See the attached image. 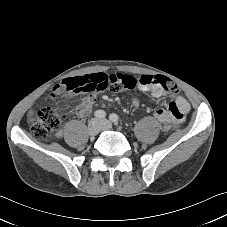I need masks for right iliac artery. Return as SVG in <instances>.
Returning a JSON list of instances; mask_svg holds the SVG:
<instances>
[{
    "label": "right iliac artery",
    "mask_w": 227,
    "mask_h": 227,
    "mask_svg": "<svg viewBox=\"0 0 227 227\" xmlns=\"http://www.w3.org/2000/svg\"><path fill=\"white\" fill-rule=\"evenodd\" d=\"M94 116L96 118L102 119V118L106 117V112L103 110H97V111H95Z\"/></svg>",
    "instance_id": "obj_1"
}]
</instances>
